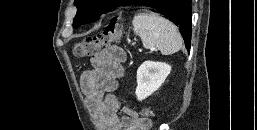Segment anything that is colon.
I'll return each mask as SVG.
<instances>
[{"instance_id": "obj_1", "label": "colon", "mask_w": 257, "mask_h": 130, "mask_svg": "<svg viewBox=\"0 0 257 130\" xmlns=\"http://www.w3.org/2000/svg\"><path fill=\"white\" fill-rule=\"evenodd\" d=\"M121 33L122 24L118 18H115L101 33L77 43L73 48V56L77 59L91 56L113 40H116ZM141 114L143 118L147 120H150V118L154 116V113L148 108H143Z\"/></svg>"}]
</instances>
